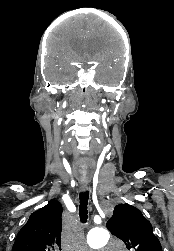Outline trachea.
I'll use <instances>...</instances> for the list:
<instances>
[{
	"instance_id": "trachea-1",
	"label": "trachea",
	"mask_w": 174,
	"mask_h": 251,
	"mask_svg": "<svg viewBox=\"0 0 174 251\" xmlns=\"http://www.w3.org/2000/svg\"><path fill=\"white\" fill-rule=\"evenodd\" d=\"M88 199H89L88 191L81 192L79 194V200H80L79 216L82 223H86L88 218V210H87Z\"/></svg>"
}]
</instances>
